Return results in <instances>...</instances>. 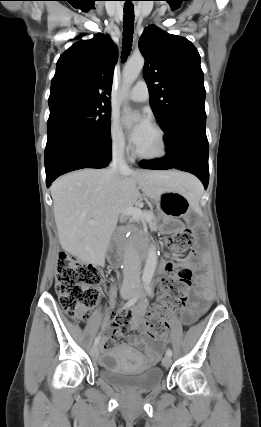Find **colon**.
I'll return each mask as SVG.
<instances>
[{
  "instance_id": "1",
  "label": "colon",
  "mask_w": 261,
  "mask_h": 427,
  "mask_svg": "<svg viewBox=\"0 0 261 427\" xmlns=\"http://www.w3.org/2000/svg\"><path fill=\"white\" fill-rule=\"evenodd\" d=\"M191 231L182 229L171 235L166 243L175 253L185 251L191 244ZM191 271L184 267L171 266L163 281L166 291L163 303L149 314L145 327L153 338L163 335L171 323V312L182 314L190 287ZM104 283L102 269L84 263L72 254L61 253L55 281V290L60 305L71 319L79 322L89 318L97 303L99 288Z\"/></svg>"
}]
</instances>
